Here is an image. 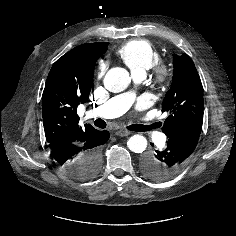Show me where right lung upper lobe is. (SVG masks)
Returning <instances> with one entry per match:
<instances>
[{
  "mask_svg": "<svg viewBox=\"0 0 236 236\" xmlns=\"http://www.w3.org/2000/svg\"><path fill=\"white\" fill-rule=\"evenodd\" d=\"M107 45V42L79 45L53 64L42 95L43 125L49 148L81 145L99 131L89 124L79 125L77 106L89 99L95 63Z\"/></svg>",
  "mask_w": 236,
  "mask_h": 236,
  "instance_id": "cb5924a9",
  "label": "right lung upper lobe"
}]
</instances>
